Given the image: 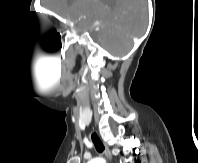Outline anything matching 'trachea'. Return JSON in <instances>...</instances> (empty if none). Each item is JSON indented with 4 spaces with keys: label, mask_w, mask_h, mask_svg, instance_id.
<instances>
[{
    "label": "trachea",
    "mask_w": 198,
    "mask_h": 163,
    "mask_svg": "<svg viewBox=\"0 0 198 163\" xmlns=\"http://www.w3.org/2000/svg\"><path fill=\"white\" fill-rule=\"evenodd\" d=\"M92 141L94 143V146L96 148V150L101 153L104 151V145L103 143L101 142L100 138L98 137V135L96 133H93L92 136Z\"/></svg>",
    "instance_id": "obj_1"
}]
</instances>
